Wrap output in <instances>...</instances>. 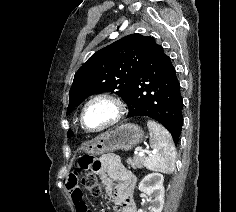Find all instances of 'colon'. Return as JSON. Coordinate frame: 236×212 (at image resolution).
<instances>
[{"label": "colon", "mask_w": 236, "mask_h": 212, "mask_svg": "<svg viewBox=\"0 0 236 212\" xmlns=\"http://www.w3.org/2000/svg\"><path fill=\"white\" fill-rule=\"evenodd\" d=\"M93 164L94 160L90 157L84 158L79 162L78 168L82 172L79 183L85 191L94 196H99L101 194V186L94 172V168H91Z\"/></svg>", "instance_id": "colon-1"}]
</instances>
